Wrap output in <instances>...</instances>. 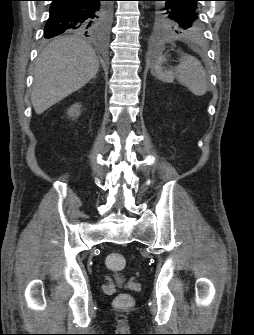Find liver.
<instances>
[{"label": "liver", "instance_id": "liver-1", "mask_svg": "<svg viewBox=\"0 0 254 335\" xmlns=\"http://www.w3.org/2000/svg\"><path fill=\"white\" fill-rule=\"evenodd\" d=\"M99 71L92 46L77 37H59L39 55L31 102L36 114L84 87Z\"/></svg>", "mask_w": 254, "mask_h": 335}]
</instances>
